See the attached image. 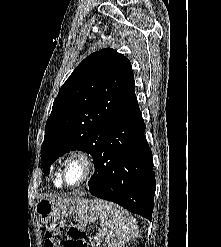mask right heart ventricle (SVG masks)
Segmentation results:
<instances>
[{"mask_svg": "<svg viewBox=\"0 0 221 247\" xmlns=\"http://www.w3.org/2000/svg\"><path fill=\"white\" fill-rule=\"evenodd\" d=\"M54 184H55V186H57V187H61V186H62V183H61L60 178H59L58 175L56 176V178H55V180H54Z\"/></svg>", "mask_w": 221, "mask_h": 247, "instance_id": "obj_1", "label": "right heart ventricle"}]
</instances>
